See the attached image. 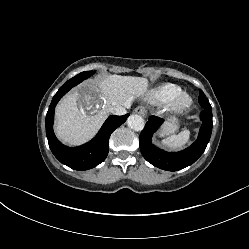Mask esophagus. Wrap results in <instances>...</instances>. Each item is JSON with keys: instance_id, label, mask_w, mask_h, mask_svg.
Masks as SVG:
<instances>
[{"instance_id": "esophagus-1", "label": "esophagus", "mask_w": 249, "mask_h": 249, "mask_svg": "<svg viewBox=\"0 0 249 249\" xmlns=\"http://www.w3.org/2000/svg\"><path fill=\"white\" fill-rule=\"evenodd\" d=\"M134 113L140 114L141 116H146V110L143 107H137L134 109Z\"/></svg>"}]
</instances>
